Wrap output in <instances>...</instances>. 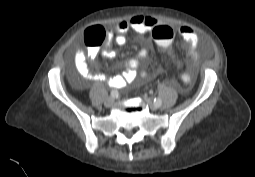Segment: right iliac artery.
<instances>
[{
    "label": "right iliac artery",
    "mask_w": 255,
    "mask_h": 177,
    "mask_svg": "<svg viewBox=\"0 0 255 177\" xmlns=\"http://www.w3.org/2000/svg\"><path fill=\"white\" fill-rule=\"evenodd\" d=\"M118 95H119V93H118V91L117 90H112L111 91V97H113V98H117L118 97Z\"/></svg>",
    "instance_id": "obj_1"
}]
</instances>
